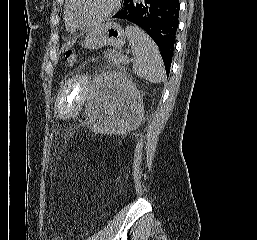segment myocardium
<instances>
[{"instance_id": "obj_1", "label": "myocardium", "mask_w": 257, "mask_h": 240, "mask_svg": "<svg viewBox=\"0 0 257 240\" xmlns=\"http://www.w3.org/2000/svg\"><path fill=\"white\" fill-rule=\"evenodd\" d=\"M74 0H66V7H65V13L67 16L68 21L75 27L79 29L89 28L92 26H95L103 21H105L107 18H109L117 9L120 0H112L110 7L100 16L94 18L93 20H90L88 22H78L74 19L72 13H71V7Z\"/></svg>"}]
</instances>
